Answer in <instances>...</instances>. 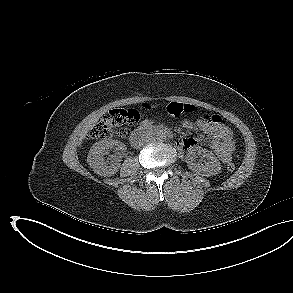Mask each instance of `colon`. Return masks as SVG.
<instances>
[{
    "mask_svg": "<svg viewBox=\"0 0 293 293\" xmlns=\"http://www.w3.org/2000/svg\"><path fill=\"white\" fill-rule=\"evenodd\" d=\"M192 105L172 102L167 106V112L173 117H180L192 113ZM201 117L214 123H221L218 115L202 113ZM140 120V114L134 109H113L104 115L89 132V136L94 139H106L112 136L124 138ZM227 170H235V164L229 163Z\"/></svg>",
    "mask_w": 293,
    "mask_h": 293,
    "instance_id": "obj_1",
    "label": "colon"
}]
</instances>
